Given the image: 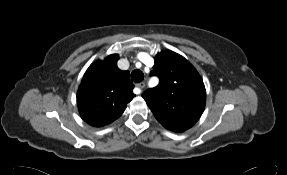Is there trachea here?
Listing matches in <instances>:
<instances>
[{
    "instance_id": "trachea-1",
    "label": "trachea",
    "mask_w": 287,
    "mask_h": 175,
    "mask_svg": "<svg viewBox=\"0 0 287 175\" xmlns=\"http://www.w3.org/2000/svg\"><path fill=\"white\" fill-rule=\"evenodd\" d=\"M131 79L133 80V82L139 83L144 79V74L141 70L135 69L131 73Z\"/></svg>"
}]
</instances>
